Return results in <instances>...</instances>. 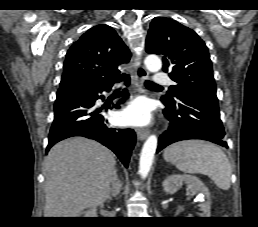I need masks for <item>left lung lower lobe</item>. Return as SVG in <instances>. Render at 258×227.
<instances>
[{
  "instance_id": "obj_1",
  "label": "left lung lower lobe",
  "mask_w": 258,
  "mask_h": 227,
  "mask_svg": "<svg viewBox=\"0 0 258 227\" xmlns=\"http://www.w3.org/2000/svg\"><path fill=\"white\" fill-rule=\"evenodd\" d=\"M164 115L170 125L159 138L157 153L166 146L186 139H203L223 147L225 131L219 115L216 94L191 91L182 94L175 102L162 100Z\"/></svg>"
}]
</instances>
